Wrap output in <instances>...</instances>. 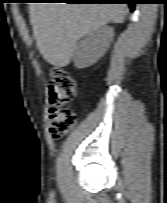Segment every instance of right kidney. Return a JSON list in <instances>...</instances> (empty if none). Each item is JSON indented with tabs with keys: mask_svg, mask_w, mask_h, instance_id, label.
Listing matches in <instances>:
<instances>
[{
	"mask_svg": "<svg viewBox=\"0 0 167 203\" xmlns=\"http://www.w3.org/2000/svg\"><path fill=\"white\" fill-rule=\"evenodd\" d=\"M112 27L103 26L89 33L79 44L75 53V66L86 68L100 59L113 40Z\"/></svg>",
	"mask_w": 167,
	"mask_h": 203,
	"instance_id": "ca27d5eb",
	"label": "right kidney"
}]
</instances>
